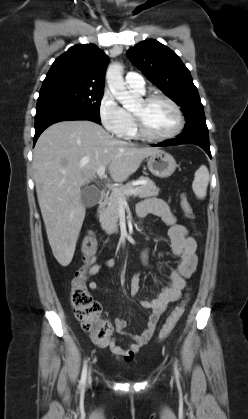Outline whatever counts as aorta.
Returning a JSON list of instances; mask_svg holds the SVG:
<instances>
[{"mask_svg":"<svg viewBox=\"0 0 248 419\" xmlns=\"http://www.w3.org/2000/svg\"><path fill=\"white\" fill-rule=\"evenodd\" d=\"M106 79L110 91L123 107L128 110L134 108L138 102V96L127 90L123 79V66L119 63L110 64L106 72Z\"/></svg>","mask_w":248,"mask_h":419,"instance_id":"1","label":"aorta"}]
</instances>
